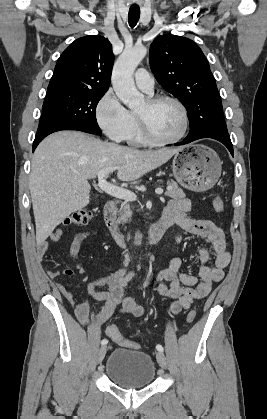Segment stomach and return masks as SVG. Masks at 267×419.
Listing matches in <instances>:
<instances>
[{
    "label": "stomach",
    "mask_w": 267,
    "mask_h": 419,
    "mask_svg": "<svg viewBox=\"0 0 267 419\" xmlns=\"http://www.w3.org/2000/svg\"><path fill=\"white\" fill-rule=\"evenodd\" d=\"M221 160L217 153L202 144L183 146L174 155V178L184 188L204 192L212 188L221 175Z\"/></svg>",
    "instance_id": "1"
}]
</instances>
